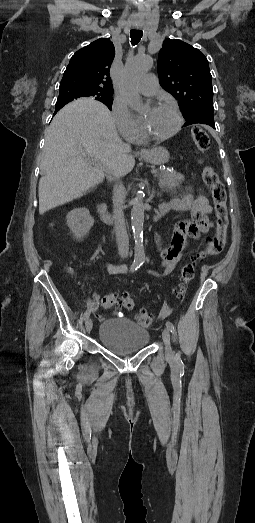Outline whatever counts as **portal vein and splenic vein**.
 Returning <instances> with one entry per match:
<instances>
[{
	"mask_svg": "<svg viewBox=\"0 0 255 523\" xmlns=\"http://www.w3.org/2000/svg\"><path fill=\"white\" fill-rule=\"evenodd\" d=\"M83 156H86L85 152H83ZM93 162H97V163H94V168H99V160H97V158H95V160H93ZM150 174L152 176H155L156 174H159V171H156L155 169H152L150 171Z\"/></svg>",
	"mask_w": 255,
	"mask_h": 523,
	"instance_id": "1",
	"label": "portal vein and splenic vein"
}]
</instances>
